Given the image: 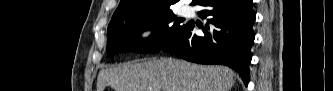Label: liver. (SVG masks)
<instances>
[{"instance_id":"obj_1","label":"liver","mask_w":333,"mask_h":91,"mask_svg":"<svg viewBox=\"0 0 333 91\" xmlns=\"http://www.w3.org/2000/svg\"><path fill=\"white\" fill-rule=\"evenodd\" d=\"M234 83L228 67L160 58L100 70L97 91H229Z\"/></svg>"}]
</instances>
